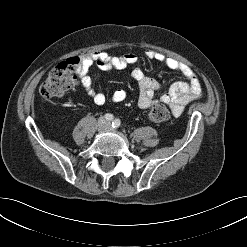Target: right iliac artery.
<instances>
[{
  "instance_id": "1",
  "label": "right iliac artery",
  "mask_w": 247,
  "mask_h": 247,
  "mask_svg": "<svg viewBox=\"0 0 247 247\" xmlns=\"http://www.w3.org/2000/svg\"><path fill=\"white\" fill-rule=\"evenodd\" d=\"M105 119H106L107 121H112V120L114 119V117H113L112 114L107 113V114H105Z\"/></svg>"
}]
</instances>
